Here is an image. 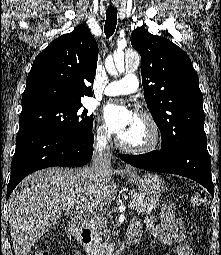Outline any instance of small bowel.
Returning <instances> with one entry per match:
<instances>
[{
  "label": "small bowel",
  "mask_w": 221,
  "mask_h": 255,
  "mask_svg": "<svg viewBox=\"0 0 221 255\" xmlns=\"http://www.w3.org/2000/svg\"><path fill=\"white\" fill-rule=\"evenodd\" d=\"M161 221L160 223L158 221ZM148 234L166 246L173 247L175 255H192L188 245L189 236L182 230V222L175 215L172 203H165L162 206L159 217L149 215L144 220ZM133 239H139L141 228L138 223H134L130 229ZM75 255H81L76 253Z\"/></svg>",
  "instance_id": "1"
}]
</instances>
